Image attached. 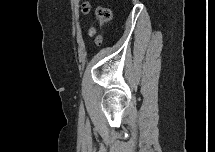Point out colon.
I'll list each match as a JSON object with an SVG mask.
<instances>
[{
  "instance_id": "obj_1",
  "label": "colon",
  "mask_w": 215,
  "mask_h": 152,
  "mask_svg": "<svg viewBox=\"0 0 215 152\" xmlns=\"http://www.w3.org/2000/svg\"><path fill=\"white\" fill-rule=\"evenodd\" d=\"M91 11V5L88 2H84L82 5V12L84 14H89ZM96 16L99 21V25L103 26L111 19V11L108 8L105 7H98L96 9ZM92 36L95 37V40L97 42L101 41V36L97 29H93L91 31Z\"/></svg>"
}]
</instances>
